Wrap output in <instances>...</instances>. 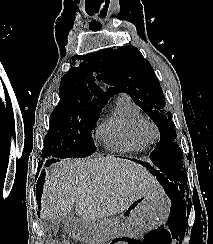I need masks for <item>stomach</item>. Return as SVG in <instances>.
Masks as SVG:
<instances>
[{"label": "stomach", "mask_w": 213, "mask_h": 244, "mask_svg": "<svg viewBox=\"0 0 213 244\" xmlns=\"http://www.w3.org/2000/svg\"><path fill=\"white\" fill-rule=\"evenodd\" d=\"M158 194L160 192L146 194L134 201L119 225L117 221H69L68 231L74 237L87 240V244H98V239H119L122 233L143 234L151 231L167 217L163 211V200Z\"/></svg>", "instance_id": "stomach-1"}]
</instances>
